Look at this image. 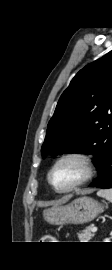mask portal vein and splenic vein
<instances>
[{"instance_id": "obj_1", "label": "portal vein and splenic vein", "mask_w": 112, "mask_h": 270, "mask_svg": "<svg viewBox=\"0 0 112 270\" xmlns=\"http://www.w3.org/2000/svg\"><path fill=\"white\" fill-rule=\"evenodd\" d=\"M91 231H92V232L97 231V227H96L95 225H92V227H91Z\"/></svg>"}]
</instances>
